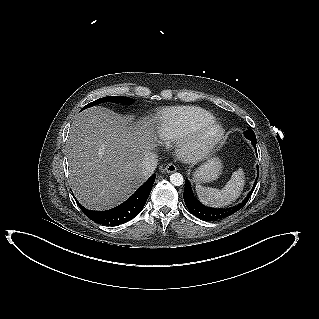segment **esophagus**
<instances>
[{
  "instance_id": "1",
  "label": "esophagus",
  "mask_w": 319,
  "mask_h": 319,
  "mask_svg": "<svg viewBox=\"0 0 319 319\" xmlns=\"http://www.w3.org/2000/svg\"><path fill=\"white\" fill-rule=\"evenodd\" d=\"M177 170V167L173 164V163H169L166 168H165V171L167 173H173Z\"/></svg>"
}]
</instances>
